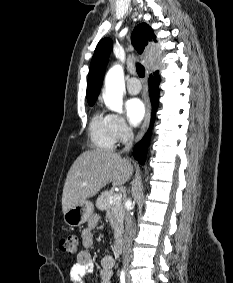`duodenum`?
<instances>
[{
	"label": "duodenum",
	"instance_id": "obj_1",
	"mask_svg": "<svg viewBox=\"0 0 233 283\" xmlns=\"http://www.w3.org/2000/svg\"><path fill=\"white\" fill-rule=\"evenodd\" d=\"M115 248H116V251H117L118 253L121 252V250H122V241H121L120 238H117V239H116V241H115Z\"/></svg>",
	"mask_w": 233,
	"mask_h": 283
}]
</instances>
